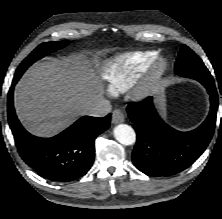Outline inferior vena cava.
Wrapping results in <instances>:
<instances>
[{"instance_id":"inferior-vena-cava-1","label":"inferior vena cava","mask_w":222,"mask_h":219,"mask_svg":"<svg viewBox=\"0 0 222 219\" xmlns=\"http://www.w3.org/2000/svg\"><path fill=\"white\" fill-rule=\"evenodd\" d=\"M112 110V106L108 100H101L97 104L90 107L86 114L95 117H104Z\"/></svg>"}]
</instances>
